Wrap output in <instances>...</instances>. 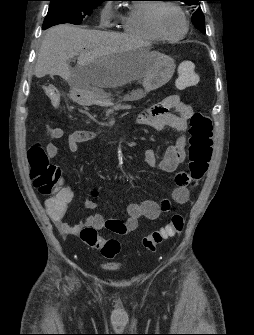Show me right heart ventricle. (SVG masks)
Listing matches in <instances>:
<instances>
[{"mask_svg": "<svg viewBox=\"0 0 254 335\" xmlns=\"http://www.w3.org/2000/svg\"><path fill=\"white\" fill-rule=\"evenodd\" d=\"M153 4H133L125 13L119 16V22L124 32L129 35L157 41L159 38L151 31L148 25V12Z\"/></svg>", "mask_w": 254, "mask_h": 335, "instance_id": "1", "label": "right heart ventricle"}]
</instances>
